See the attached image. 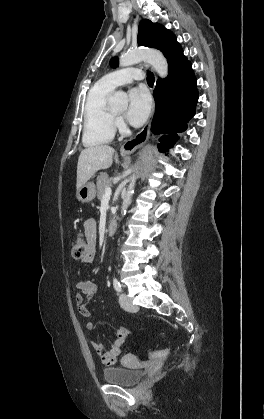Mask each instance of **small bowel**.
<instances>
[{"mask_svg":"<svg viewBox=\"0 0 264 419\" xmlns=\"http://www.w3.org/2000/svg\"><path fill=\"white\" fill-rule=\"evenodd\" d=\"M84 230L89 239V252L87 256L82 259V262L89 263L94 260L96 254L95 240L97 222L94 219H87L84 222ZM76 288L78 290V295L76 297L78 312L83 318H89L91 313L87 308V303L96 290V284L90 280L80 281L77 283ZM94 327L95 324L93 321L89 320L86 323L87 330L92 331ZM128 334L129 331L127 328L119 327L116 330L114 340L109 345V347H105L102 343L96 341L92 342V347L100 356L102 364L109 366L117 361L118 356L122 353V349Z\"/></svg>","mask_w":264,"mask_h":419,"instance_id":"1","label":"small bowel"}]
</instances>
